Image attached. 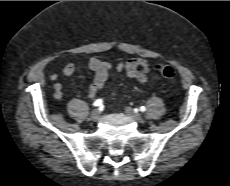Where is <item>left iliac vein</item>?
Masks as SVG:
<instances>
[{
    "mask_svg": "<svg viewBox=\"0 0 230 186\" xmlns=\"http://www.w3.org/2000/svg\"><path fill=\"white\" fill-rule=\"evenodd\" d=\"M125 113L136 122H141L143 120V117L139 113H136L131 107H126Z\"/></svg>",
    "mask_w": 230,
    "mask_h": 186,
    "instance_id": "1",
    "label": "left iliac vein"
}]
</instances>
